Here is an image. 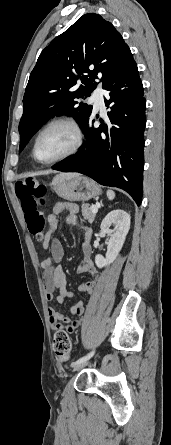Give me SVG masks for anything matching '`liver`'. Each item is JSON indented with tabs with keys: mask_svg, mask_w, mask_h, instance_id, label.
Masks as SVG:
<instances>
[{
	"mask_svg": "<svg viewBox=\"0 0 171 445\" xmlns=\"http://www.w3.org/2000/svg\"><path fill=\"white\" fill-rule=\"evenodd\" d=\"M76 174H61L60 176H74Z\"/></svg>",
	"mask_w": 171,
	"mask_h": 445,
	"instance_id": "obj_1",
	"label": "liver"
}]
</instances>
